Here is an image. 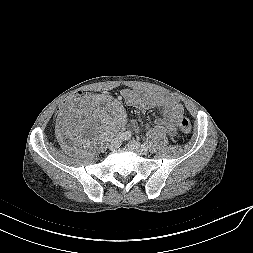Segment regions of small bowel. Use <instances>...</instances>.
<instances>
[{
    "instance_id": "small-bowel-1",
    "label": "small bowel",
    "mask_w": 253,
    "mask_h": 253,
    "mask_svg": "<svg viewBox=\"0 0 253 253\" xmlns=\"http://www.w3.org/2000/svg\"><path fill=\"white\" fill-rule=\"evenodd\" d=\"M122 97L127 105L138 108L142 112L151 109H161L163 115L156 119V126L165 129L170 136H175L177 122L183 115L182 104L173 98L157 95L149 92L125 89ZM131 125L136 129L137 122L131 121Z\"/></svg>"
}]
</instances>
